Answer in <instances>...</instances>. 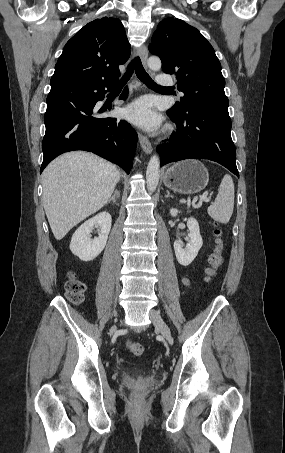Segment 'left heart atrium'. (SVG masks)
Wrapping results in <instances>:
<instances>
[{"mask_svg": "<svg viewBox=\"0 0 285 453\" xmlns=\"http://www.w3.org/2000/svg\"><path fill=\"white\" fill-rule=\"evenodd\" d=\"M124 115L129 121L150 131L156 130L161 124V116L148 98H140L131 103L125 108Z\"/></svg>", "mask_w": 285, "mask_h": 453, "instance_id": "obj_1", "label": "left heart atrium"}]
</instances>
